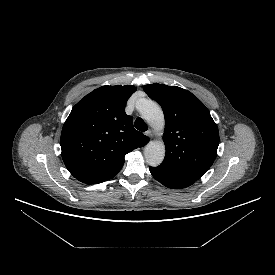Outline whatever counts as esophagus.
Wrapping results in <instances>:
<instances>
[{"mask_svg":"<svg viewBox=\"0 0 275 275\" xmlns=\"http://www.w3.org/2000/svg\"><path fill=\"white\" fill-rule=\"evenodd\" d=\"M146 136H148L150 139L153 137V132L151 130L146 131Z\"/></svg>","mask_w":275,"mask_h":275,"instance_id":"obj_1","label":"esophagus"}]
</instances>
